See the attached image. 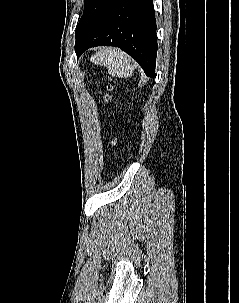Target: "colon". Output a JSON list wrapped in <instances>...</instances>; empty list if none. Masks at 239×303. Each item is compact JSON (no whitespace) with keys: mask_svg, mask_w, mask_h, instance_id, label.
I'll list each match as a JSON object with an SVG mask.
<instances>
[{"mask_svg":"<svg viewBox=\"0 0 239 303\" xmlns=\"http://www.w3.org/2000/svg\"><path fill=\"white\" fill-rule=\"evenodd\" d=\"M107 89L109 90V89H110V87H109V86H107ZM102 98H103V101H105V102H108V101L110 100V97H109V95H108V94H104Z\"/></svg>","mask_w":239,"mask_h":303,"instance_id":"obj_1","label":"colon"}]
</instances>
